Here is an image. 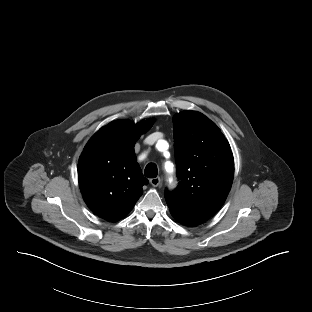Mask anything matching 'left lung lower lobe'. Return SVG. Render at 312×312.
<instances>
[{
	"label": "left lung lower lobe",
	"instance_id": "obj_1",
	"mask_svg": "<svg viewBox=\"0 0 312 312\" xmlns=\"http://www.w3.org/2000/svg\"><path fill=\"white\" fill-rule=\"evenodd\" d=\"M179 222H181V221H179ZM181 223L184 224V225H187V226H194V225H192V224H190L188 222H181Z\"/></svg>",
	"mask_w": 312,
	"mask_h": 312
}]
</instances>
